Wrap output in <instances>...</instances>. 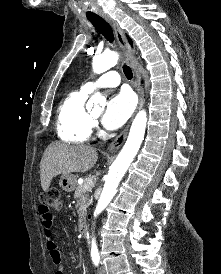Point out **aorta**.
Here are the masks:
<instances>
[{
    "instance_id": "1",
    "label": "aorta",
    "mask_w": 221,
    "mask_h": 274,
    "mask_svg": "<svg viewBox=\"0 0 221 274\" xmlns=\"http://www.w3.org/2000/svg\"><path fill=\"white\" fill-rule=\"evenodd\" d=\"M118 59L119 55L116 52L99 55L93 59V71L97 74L103 73L115 66ZM103 101V97L99 93H96L90 98L89 104L96 105ZM146 123L147 113L145 110H141L135 116L127 141L106 176L102 194L94 211V217L99 215L105 209L115 195L120 180L124 176L140 148L145 134ZM91 253H98V248L94 238L92 239Z\"/></svg>"
}]
</instances>
